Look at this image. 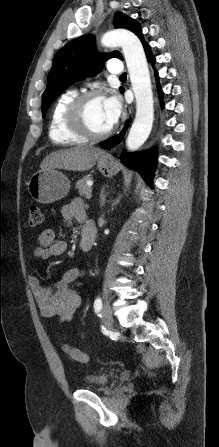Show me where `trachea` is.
Returning <instances> with one entry per match:
<instances>
[{
	"label": "trachea",
	"mask_w": 219,
	"mask_h": 447,
	"mask_svg": "<svg viewBox=\"0 0 219 447\" xmlns=\"http://www.w3.org/2000/svg\"><path fill=\"white\" fill-rule=\"evenodd\" d=\"M120 78H126V73H123L122 75H120Z\"/></svg>",
	"instance_id": "1"
}]
</instances>
